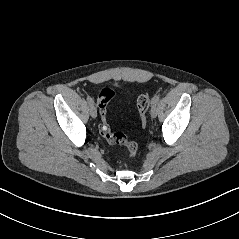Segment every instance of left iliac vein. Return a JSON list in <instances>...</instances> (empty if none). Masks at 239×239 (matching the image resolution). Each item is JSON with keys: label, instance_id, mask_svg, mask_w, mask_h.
I'll list each match as a JSON object with an SVG mask.
<instances>
[{"label": "left iliac vein", "instance_id": "4c4485c4", "mask_svg": "<svg viewBox=\"0 0 239 239\" xmlns=\"http://www.w3.org/2000/svg\"><path fill=\"white\" fill-rule=\"evenodd\" d=\"M150 115L152 118H155L157 116V104L151 105Z\"/></svg>", "mask_w": 239, "mask_h": 239}]
</instances>
